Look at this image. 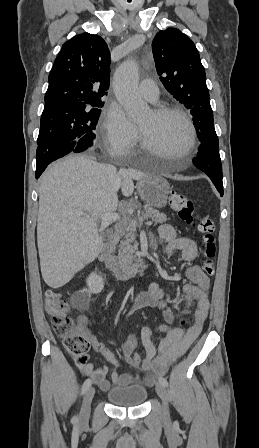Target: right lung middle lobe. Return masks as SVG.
Instances as JSON below:
<instances>
[{
	"instance_id": "1",
	"label": "right lung middle lobe",
	"mask_w": 259,
	"mask_h": 448,
	"mask_svg": "<svg viewBox=\"0 0 259 448\" xmlns=\"http://www.w3.org/2000/svg\"><path fill=\"white\" fill-rule=\"evenodd\" d=\"M102 105L69 113L42 114L37 144L76 141V152L92 148Z\"/></svg>"
}]
</instances>
